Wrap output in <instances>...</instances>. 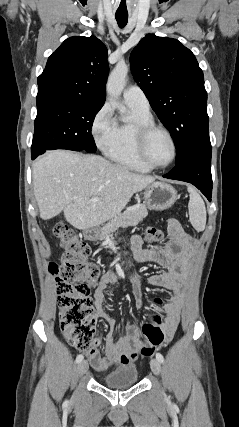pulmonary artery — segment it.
<instances>
[{
    "label": "pulmonary artery",
    "instance_id": "e3ab8cb5",
    "mask_svg": "<svg viewBox=\"0 0 239 427\" xmlns=\"http://www.w3.org/2000/svg\"><path fill=\"white\" fill-rule=\"evenodd\" d=\"M123 99L128 106L150 111L149 101L144 92L138 86H129L123 92Z\"/></svg>",
    "mask_w": 239,
    "mask_h": 427
}]
</instances>
